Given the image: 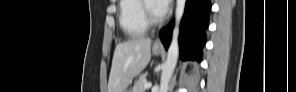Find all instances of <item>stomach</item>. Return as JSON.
Here are the masks:
<instances>
[{"mask_svg":"<svg viewBox=\"0 0 296 92\" xmlns=\"http://www.w3.org/2000/svg\"><path fill=\"white\" fill-rule=\"evenodd\" d=\"M153 53L155 54V55H159L160 53H161V49H156V48H153ZM124 92H130V91H124Z\"/></svg>","mask_w":296,"mask_h":92,"instance_id":"obj_1","label":"stomach"}]
</instances>
